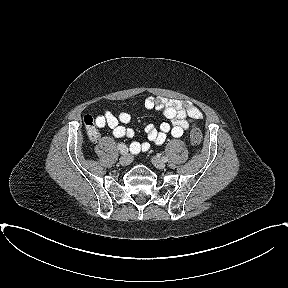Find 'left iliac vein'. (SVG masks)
Wrapping results in <instances>:
<instances>
[{
	"mask_svg": "<svg viewBox=\"0 0 288 288\" xmlns=\"http://www.w3.org/2000/svg\"><path fill=\"white\" fill-rule=\"evenodd\" d=\"M151 161L152 164L158 169H164L166 166L165 162L158 157H152Z\"/></svg>",
	"mask_w": 288,
	"mask_h": 288,
	"instance_id": "4c4485c4",
	"label": "left iliac vein"
}]
</instances>
